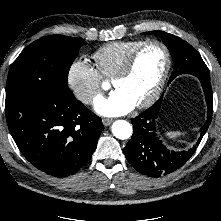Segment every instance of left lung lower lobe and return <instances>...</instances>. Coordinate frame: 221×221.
<instances>
[{"label":"left lung lower lobe","instance_id":"left-lung-lower-lobe-1","mask_svg":"<svg viewBox=\"0 0 221 221\" xmlns=\"http://www.w3.org/2000/svg\"><path fill=\"white\" fill-rule=\"evenodd\" d=\"M199 78V77H198ZM206 97L208 117L201 127L199 145L206 133L212 118L213 94L210 79L199 78ZM163 95L150 108L131 119L133 136L124 148L128 162L140 173L151 177H159L171 173L183 166L196 150V146L188 151L175 152L167 149L157 137L155 122L161 106Z\"/></svg>","mask_w":221,"mask_h":221}]
</instances>
